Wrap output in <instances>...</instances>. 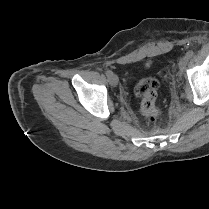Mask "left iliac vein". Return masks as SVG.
Returning a JSON list of instances; mask_svg holds the SVG:
<instances>
[{"label":"left iliac vein","mask_w":209,"mask_h":209,"mask_svg":"<svg viewBox=\"0 0 209 209\" xmlns=\"http://www.w3.org/2000/svg\"><path fill=\"white\" fill-rule=\"evenodd\" d=\"M188 63V58L186 56L182 57L178 63L180 71H183Z\"/></svg>","instance_id":"obj_1"}]
</instances>
